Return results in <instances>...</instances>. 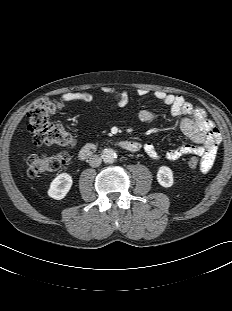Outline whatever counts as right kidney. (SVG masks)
Wrapping results in <instances>:
<instances>
[{
    "instance_id": "1",
    "label": "right kidney",
    "mask_w": 232,
    "mask_h": 311,
    "mask_svg": "<svg viewBox=\"0 0 232 311\" xmlns=\"http://www.w3.org/2000/svg\"><path fill=\"white\" fill-rule=\"evenodd\" d=\"M72 183V177L68 173H61L51 182L48 195L57 200L63 199Z\"/></svg>"
}]
</instances>
